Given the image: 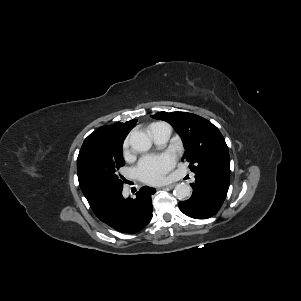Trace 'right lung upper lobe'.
Masks as SVG:
<instances>
[{"instance_id":"obj_1","label":"right lung upper lobe","mask_w":301,"mask_h":301,"mask_svg":"<svg viewBox=\"0 0 301 301\" xmlns=\"http://www.w3.org/2000/svg\"><path fill=\"white\" fill-rule=\"evenodd\" d=\"M137 120L133 119L125 123H115L109 126H103L90 134L84 141V144L91 140H102L114 144H122L130 132L136 125Z\"/></svg>"}]
</instances>
